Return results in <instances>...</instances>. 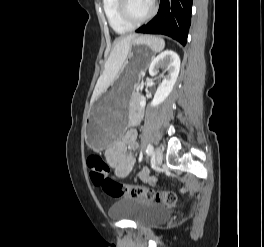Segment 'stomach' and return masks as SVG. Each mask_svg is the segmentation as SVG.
<instances>
[{
  "label": "stomach",
  "instance_id": "0dacf381",
  "mask_svg": "<svg viewBox=\"0 0 264 247\" xmlns=\"http://www.w3.org/2000/svg\"><path fill=\"white\" fill-rule=\"evenodd\" d=\"M145 37L133 41V48L125 58L126 63L118 80L107 87V95L91 106L85 125V139L95 151L107 148L125 131L131 94L139 75L149 68L147 62L152 58V48L145 43Z\"/></svg>",
  "mask_w": 264,
  "mask_h": 247
}]
</instances>
